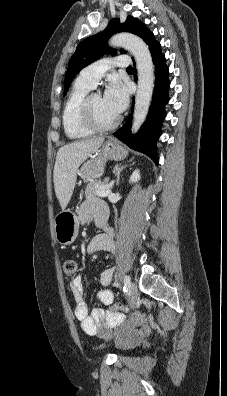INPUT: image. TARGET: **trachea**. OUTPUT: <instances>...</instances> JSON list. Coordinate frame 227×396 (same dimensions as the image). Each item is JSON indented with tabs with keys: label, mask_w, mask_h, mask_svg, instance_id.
I'll return each mask as SVG.
<instances>
[{
	"label": "trachea",
	"mask_w": 227,
	"mask_h": 396,
	"mask_svg": "<svg viewBox=\"0 0 227 396\" xmlns=\"http://www.w3.org/2000/svg\"><path fill=\"white\" fill-rule=\"evenodd\" d=\"M127 71H133V67L132 66L127 67Z\"/></svg>",
	"instance_id": "3493384b"
}]
</instances>
